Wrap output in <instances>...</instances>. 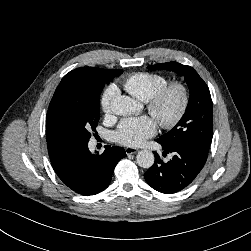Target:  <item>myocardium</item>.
<instances>
[{"label": "myocardium", "instance_id": "myocardium-1", "mask_svg": "<svg viewBox=\"0 0 251 251\" xmlns=\"http://www.w3.org/2000/svg\"><path fill=\"white\" fill-rule=\"evenodd\" d=\"M172 93H177L180 101L174 114L166 118L162 115L161 108L164 101ZM189 101L190 94L187 86L181 81H174L164 86L147 101V109L162 128L171 129L175 127L184 117Z\"/></svg>", "mask_w": 251, "mask_h": 251}]
</instances>
